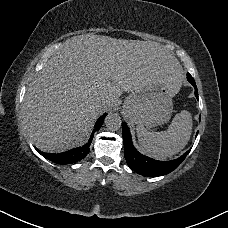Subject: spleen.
Segmentation results:
<instances>
[{"label":"spleen","mask_w":228,"mask_h":228,"mask_svg":"<svg viewBox=\"0 0 228 228\" xmlns=\"http://www.w3.org/2000/svg\"><path fill=\"white\" fill-rule=\"evenodd\" d=\"M192 119L187 111L173 117L167 130L153 132L138 124L137 137L141 150L157 159H165L178 153L189 141Z\"/></svg>","instance_id":"spleen-1"}]
</instances>
